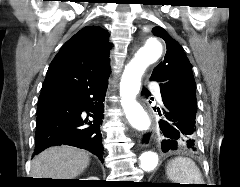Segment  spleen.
Returning a JSON list of instances; mask_svg holds the SVG:
<instances>
[{"instance_id":"spleen-1","label":"spleen","mask_w":240,"mask_h":187,"mask_svg":"<svg viewBox=\"0 0 240 187\" xmlns=\"http://www.w3.org/2000/svg\"><path fill=\"white\" fill-rule=\"evenodd\" d=\"M167 176L180 184H203L199 168L190 158L176 157L167 165Z\"/></svg>"}]
</instances>
